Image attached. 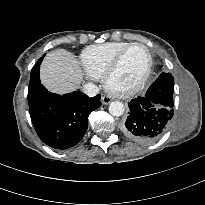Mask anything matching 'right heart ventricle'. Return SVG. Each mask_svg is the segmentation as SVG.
Wrapping results in <instances>:
<instances>
[{"instance_id":"right-heart-ventricle-1","label":"right heart ventricle","mask_w":205,"mask_h":205,"mask_svg":"<svg viewBox=\"0 0 205 205\" xmlns=\"http://www.w3.org/2000/svg\"><path fill=\"white\" fill-rule=\"evenodd\" d=\"M130 44L129 42H107L88 46L80 56L84 71L92 78L103 77L117 54Z\"/></svg>"}]
</instances>
